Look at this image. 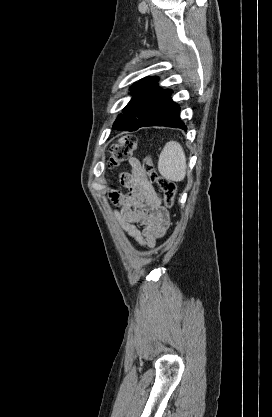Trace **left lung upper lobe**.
<instances>
[{
    "label": "left lung upper lobe",
    "instance_id": "obj_1",
    "mask_svg": "<svg viewBox=\"0 0 272 417\" xmlns=\"http://www.w3.org/2000/svg\"><path fill=\"white\" fill-rule=\"evenodd\" d=\"M156 83V77H148L131 87L130 90L134 96L123 109V114H120L114 122V129L137 130L149 116L158 110L172 90L159 89Z\"/></svg>",
    "mask_w": 272,
    "mask_h": 417
}]
</instances>
